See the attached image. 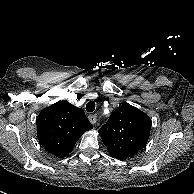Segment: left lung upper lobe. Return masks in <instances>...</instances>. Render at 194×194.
<instances>
[{
  "mask_svg": "<svg viewBox=\"0 0 194 194\" xmlns=\"http://www.w3.org/2000/svg\"><path fill=\"white\" fill-rule=\"evenodd\" d=\"M151 129L148 115L128 103L119 106L99 130L103 143L114 158L123 160L146 145Z\"/></svg>",
  "mask_w": 194,
  "mask_h": 194,
  "instance_id": "left-lung-upper-lobe-1",
  "label": "left lung upper lobe"
}]
</instances>
